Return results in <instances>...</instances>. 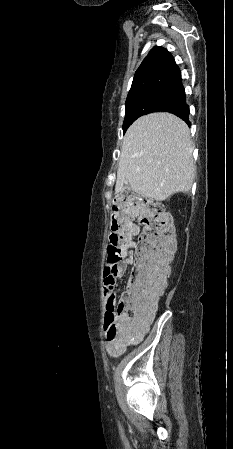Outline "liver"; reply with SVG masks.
Wrapping results in <instances>:
<instances>
[{"label": "liver", "instance_id": "1", "mask_svg": "<svg viewBox=\"0 0 233 449\" xmlns=\"http://www.w3.org/2000/svg\"><path fill=\"white\" fill-rule=\"evenodd\" d=\"M188 126L170 113H151L127 130L121 147L115 193L126 189L164 201L188 192L196 167Z\"/></svg>", "mask_w": 233, "mask_h": 449}]
</instances>
